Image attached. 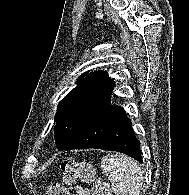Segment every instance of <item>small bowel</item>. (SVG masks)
<instances>
[{
    "mask_svg": "<svg viewBox=\"0 0 189 195\" xmlns=\"http://www.w3.org/2000/svg\"><path fill=\"white\" fill-rule=\"evenodd\" d=\"M79 195H91V190L89 188H82Z\"/></svg>",
    "mask_w": 189,
    "mask_h": 195,
    "instance_id": "1",
    "label": "small bowel"
}]
</instances>
